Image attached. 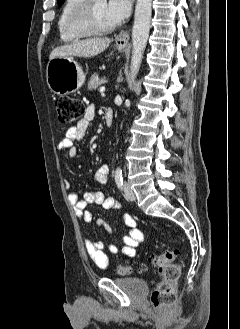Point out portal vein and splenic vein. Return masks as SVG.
I'll return each mask as SVG.
<instances>
[{"label":"portal vein and splenic vein","mask_w":240,"mask_h":329,"mask_svg":"<svg viewBox=\"0 0 240 329\" xmlns=\"http://www.w3.org/2000/svg\"><path fill=\"white\" fill-rule=\"evenodd\" d=\"M104 91H105V87L103 86L100 88V92H104Z\"/></svg>","instance_id":"portal-vein-and-splenic-vein-1"}]
</instances>
